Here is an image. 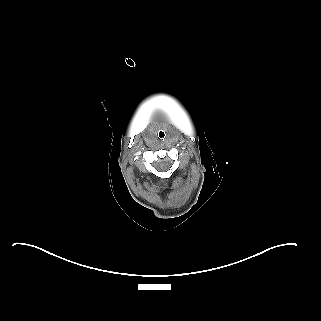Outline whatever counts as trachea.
Returning a JSON list of instances; mask_svg holds the SVG:
<instances>
[{
	"label": "trachea",
	"instance_id": "3493384b",
	"mask_svg": "<svg viewBox=\"0 0 321 321\" xmlns=\"http://www.w3.org/2000/svg\"><path fill=\"white\" fill-rule=\"evenodd\" d=\"M166 135V132L164 130H161L159 133H158V136L160 138H163L164 136Z\"/></svg>",
	"mask_w": 321,
	"mask_h": 321
}]
</instances>
